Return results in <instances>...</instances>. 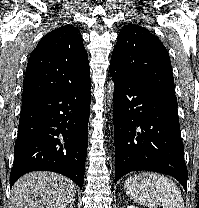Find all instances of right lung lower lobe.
<instances>
[{
  "label": "right lung lower lobe",
  "instance_id": "98d812e1",
  "mask_svg": "<svg viewBox=\"0 0 199 208\" xmlns=\"http://www.w3.org/2000/svg\"><path fill=\"white\" fill-rule=\"evenodd\" d=\"M91 79L22 100L10 188L37 170L63 174L83 186L88 146Z\"/></svg>",
  "mask_w": 199,
  "mask_h": 208
}]
</instances>
